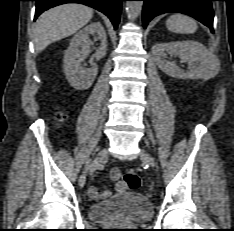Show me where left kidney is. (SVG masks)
<instances>
[{"mask_svg":"<svg viewBox=\"0 0 234 231\" xmlns=\"http://www.w3.org/2000/svg\"><path fill=\"white\" fill-rule=\"evenodd\" d=\"M166 52L172 53L188 63L189 71H182L175 62H166ZM152 54L158 67L166 74L179 79L213 78L220 71V61L197 41H174L158 43L152 47Z\"/></svg>","mask_w":234,"mask_h":231,"instance_id":"5707ae66","label":"left kidney"}]
</instances>
